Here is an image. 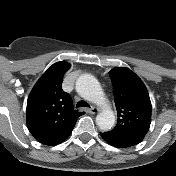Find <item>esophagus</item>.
<instances>
[{"label":"esophagus","instance_id":"34e87169","mask_svg":"<svg viewBox=\"0 0 176 176\" xmlns=\"http://www.w3.org/2000/svg\"><path fill=\"white\" fill-rule=\"evenodd\" d=\"M100 110L97 107L92 106L91 108L87 109L89 114H97Z\"/></svg>","mask_w":176,"mask_h":176}]
</instances>
